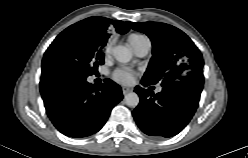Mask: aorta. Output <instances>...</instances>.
<instances>
[{
	"mask_svg": "<svg viewBox=\"0 0 248 158\" xmlns=\"http://www.w3.org/2000/svg\"><path fill=\"white\" fill-rule=\"evenodd\" d=\"M112 53L114 58L121 63H127L132 59L131 51L125 46L114 47ZM125 103L129 107H136L139 104V96L135 92H130L125 96Z\"/></svg>",
	"mask_w": 248,
	"mask_h": 158,
	"instance_id": "762f6f07",
	"label": "aorta"
}]
</instances>
